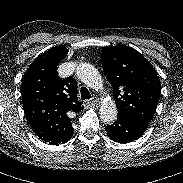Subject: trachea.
Instances as JSON below:
<instances>
[{
	"instance_id": "1",
	"label": "trachea",
	"mask_w": 183,
	"mask_h": 183,
	"mask_svg": "<svg viewBox=\"0 0 183 183\" xmlns=\"http://www.w3.org/2000/svg\"><path fill=\"white\" fill-rule=\"evenodd\" d=\"M80 94H81V99H82V100L91 98L90 92H89L88 89L85 88V87H82V88L80 89Z\"/></svg>"
}]
</instances>
